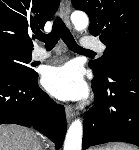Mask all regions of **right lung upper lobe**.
I'll list each match as a JSON object with an SVG mask.
<instances>
[{
	"label": "right lung upper lobe",
	"mask_w": 139,
	"mask_h": 150,
	"mask_svg": "<svg viewBox=\"0 0 139 150\" xmlns=\"http://www.w3.org/2000/svg\"><path fill=\"white\" fill-rule=\"evenodd\" d=\"M60 0H0V46L31 52L29 35L40 31Z\"/></svg>",
	"instance_id": "cb5924a9"
}]
</instances>
